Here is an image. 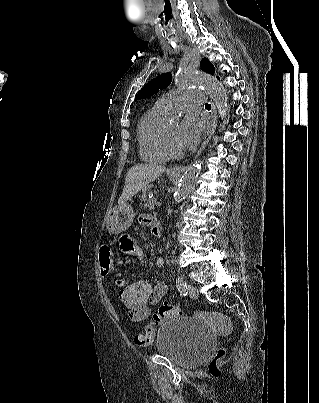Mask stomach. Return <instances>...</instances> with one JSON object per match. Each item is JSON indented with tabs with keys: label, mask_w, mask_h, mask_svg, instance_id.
<instances>
[{
	"label": "stomach",
	"mask_w": 319,
	"mask_h": 403,
	"mask_svg": "<svg viewBox=\"0 0 319 403\" xmlns=\"http://www.w3.org/2000/svg\"><path fill=\"white\" fill-rule=\"evenodd\" d=\"M134 219V212L129 204H123L115 207L107 218V229L111 233L118 234L132 224Z\"/></svg>",
	"instance_id": "obj_1"
}]
</instances>
